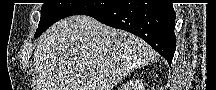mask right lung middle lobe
<instances>
[{"mask_svg":"<svg viewBox=\"0 0 216 90\" xmlns=\"http://www.w3.org/2000/svg\"><path fill=\"white\" fill-rule=\"evenodd\" d=\"M110 4H43L41 18L34 37H39L58 20L72 15H87Z\"/></svg>","mask_w":216,"mask_h":90,"instance_id":"1","label":"right lung middle lobe"}]
</instances>
